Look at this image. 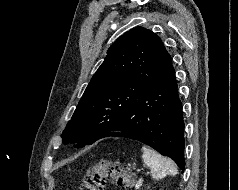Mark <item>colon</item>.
<instances>
[{"mask_svg": "<svg viewBox=\"0 0 238 190\" xmlns=\"http://www.w3.org/2000/svg\"><path fill=\"white\" fill-rule=\"evenodd\" d=\"M108 181L131 187L135 184L136 174L126 164L103 159L87 171L81 190H103Z\"/></svg>", "mask_w": 238, "mask_h": 190, "instance_id": "colon-1", "label": "colon"}]
</instances>
